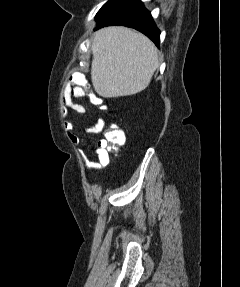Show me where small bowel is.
I'll use <instances>...</instances> for the list:
<instances>
[{
  "label": "small bowel",
  "instance_id": "1",
  "mask_svg": "<svg viewBox=\"0 0 240 287\" xmlns=\"http://www.w3.org/2000/svg\"><path fill=\"white\" fill-rule=\"evenodd\" d=\"M85 96V90L82 88V86L79 85V79L76 77H71L70 81L64 87L62 93V103L64 106V111H66V109H71L78 114L85 113L86 108L76 101L77 99L83 98ZM91 99L94 101V97H91ZM104 126L105 121L100 118L95 123L87 127L85 131L88 134H98L103 130ZM70 140L74 143H78L81 141L80 138L72 134L70 135ZM106 147L107 142L102 139L93 149L94 153L99 159L100 164H105L108 162L109 155Z\"/></svg>",
  "mask_w": 240,
  "mask_h": 287
}]
</instances>
